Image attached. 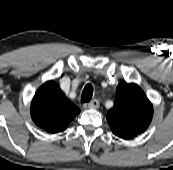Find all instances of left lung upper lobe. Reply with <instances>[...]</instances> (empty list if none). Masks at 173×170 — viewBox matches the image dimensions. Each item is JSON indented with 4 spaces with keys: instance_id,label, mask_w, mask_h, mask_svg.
<instances>
[{
    "instance_id": "5c2ea615",
    "label": "left lung upper lobe",
    "mask_w": 173,
    "mask_h": 170,
    "mask_svg": "<svg viewBox=\"0 0 173 170\" xmlns=\"http://www.w3.org/2000/svg\"><path fill=\"white\" fill-rule=\"evenodd\" d=\"M153 116V107L144 91L134 83H120L114 107L107 120L113 133L122 139H132L143 133Z\"/></svg>"
}]
</instances>
